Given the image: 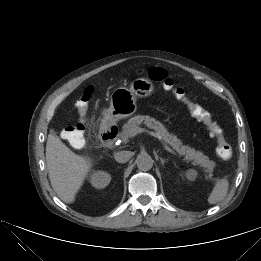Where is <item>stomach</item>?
Listing matches in <instances>:
<instances>
[{"label":"stomach","instance_id":"1","mask_svg":"<svg viewBox=\"0 0 261 261\" xmlns=\"http://www.w3.org/2000/svg\"><path fill=\"white\" fill-rule=\"evenodd\" d=\"M154 92L153 83L146 78L133 80L128 88L118 87L110 97V106L102 114V122L111 125L137 111V98H145Z\"/></svg>","mask_w":261,"mask_h":261}]
</instances>
